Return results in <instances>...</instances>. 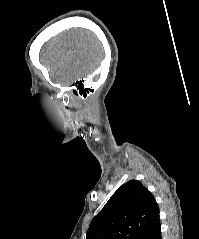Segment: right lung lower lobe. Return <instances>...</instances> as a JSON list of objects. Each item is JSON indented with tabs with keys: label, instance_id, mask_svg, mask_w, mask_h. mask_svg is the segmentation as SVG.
Here are the masks:
<instances>
[{
	"label": "right lung lower lobe",
	"instance_id": "98d812e1",
	"mask_svg": "<svg viewBox=\"0 0 199 239\" xmlns=\"http://www.w3.org/2000/svg\"><path fill=\"white\" fill-rule=\"evenodd\" d=\"M139 239H161L160 219L155 221Z\"/></svg>",
	"mask_w": 199,
	"mask_h": 239
}]
</instances>
